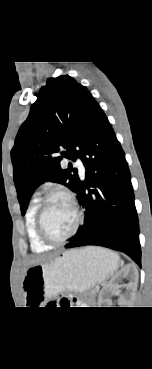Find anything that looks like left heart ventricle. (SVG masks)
Returning a JSON list of instances; mask_svg holds the SVG:
<instances>
[{
  "mask_svg": "<svg viewBox=\"0 0 152 369\" xmlns=\"http://www.w3.org/2000/svg\"><path fill=\"white\" fill-rule=\"evenodd\" d=\"M76 222V215L69 201L63 197L50 200L44 215V225L50 236L59 239L68 235Z\"/></svg>",
  "mask_w": 152,
  "mask_h": 369,
  "instance_id": "obj_1",
  "label": "left heart ventricle"
}]
</instances>
